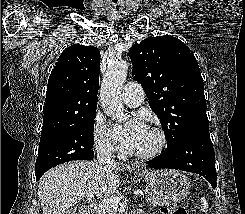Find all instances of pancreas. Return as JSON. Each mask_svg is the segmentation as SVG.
<instances>
[{
	"label": "pancreas",
	"mask_w": 245,
	"mask_h": 214,
	"mask_svg": "<svg viewBox=\"0 0 245 214\" xmlns=\"http://www.w3.org/2000/svg\"><path fill=\"white\" fill-rule=\"evenodd\" d=\"M144 192H145V200L147 203H150L154 206H163V205L169 204V202L167 200H165L161 196L154 193L148 187L144 190ZM118 196H119V194L115 195L114 197H118ZM98 214H117V211L111 207L101 205L98 208Z\"/></svg>",
	"instance_id": "cf45deb5"
}]
</instances>
